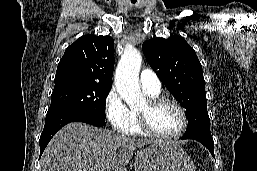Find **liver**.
<instances>
[{
  "label": "liver",
  "instance_id": "obj_1",
  "mask_svg": "<svg viewBox=\"0 0 257 171\" xmlns=\"http://www.w3.org/2000/svg\"><path fill=\"white\" fill-rule=\"evenodd\" d=\"M150 143L73 122L49 142L41 157V171H127L134 150Z\"/></svg>",
  "mask_w": 257,
  "mask_h": 171
}]
</instances>
